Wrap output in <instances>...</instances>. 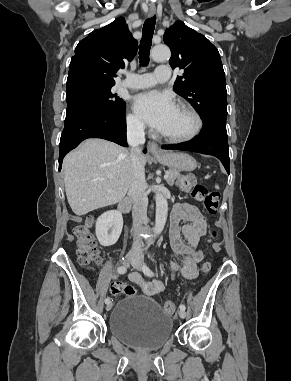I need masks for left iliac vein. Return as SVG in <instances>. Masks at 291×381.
I'll list each match as a JSON object with an SVG mask.
<instances>
[{
    "instance_id": "1",
    "label": "left iliac vein",
    "mask_w": 291,
    "mask_h": 381,
    "mask_svg": "<svg viewBox=\"0 0 291 381\" xmlns=\"http://www.w3.org/2000/svg\"><path fill=\"white\" fill-rule=\"evenodd\" d=\"M132 266L138 271H143L144 263L140 258H136V260L134 262H132ZM178 314H179L180 318L186 317L185 310L180 309Z\"/></svg>"
}]
</instances>
